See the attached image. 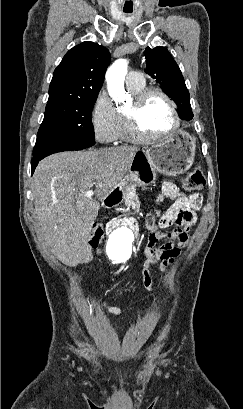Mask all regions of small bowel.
Instances as JSON below:
<instances>
[{"instance_id":"1","label":"small bowel","mask_w":243,"mask_h":409,"mask_svg":"<svg viewBox=\"0 0 243 409\" xmlns=\"http://www.w3.org/2000/svg\"><path fill=\"white\" fill-rule=\"evenodd\" d=\"M164 197L173 199L174 202L166 211H156L158 225L161 229L171 226H176V228L169 232L160 231L149 236L145 249L146 261L142 270L143 285L148 290H152L150 267L159 263L160 270L166 271L176 260L188 240L190 229L197 221L195 211L200 208L202 203L200 194H181L178 187L168 181L162 185V194L159 200ZM101 305L116 315L134 310L133 307L109 306L105 301H102Z\"/></svg>"}]
</instances>
